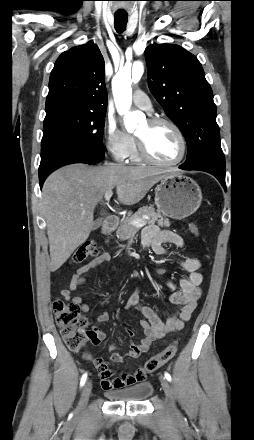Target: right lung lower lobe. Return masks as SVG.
Here are the masks:
<instances>
[{"label": "right lung lower lobe", "mask_w": 254, "mask_h": 440, "mask_svg": "<svg viewBox=\"0 0 254 440\" xmlns=\"http://www.w3.org/2000/svg\"><path fill=\"white\" fill-rule=\"evenodd\" d=\"M89 164H93V163H89ZM47 176H48V175H46V176H44V177H41V178H39L40 188H42V185H43V183H44L45 179L47 178Z\"/></svg>", "instance_id": "obj_1"}]
</instances>
